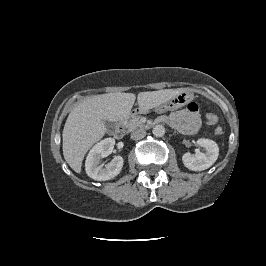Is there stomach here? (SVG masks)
Wrapping results in <instances>:
<instances>
[{
	"mask_svg": "<svg viewBox=\"0 0 266 266\" xmlns=\"http://www.w3.org/2000/svg\"><path fill=\"white\" fill-rule=\"evenodd\" d=\"M192 98V94L182 90L179 94L156 107V111L162 113L185 105Z\"/></svg>",
	"mask_w": 266,
	"mask_h": 266,
	"instance_id": "0dacf381",
	"label": "stomach"
}]
</instances>
